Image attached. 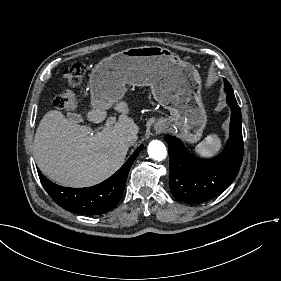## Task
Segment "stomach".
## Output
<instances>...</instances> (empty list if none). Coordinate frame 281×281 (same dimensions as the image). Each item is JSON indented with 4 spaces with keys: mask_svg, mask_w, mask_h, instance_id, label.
Masks as SVG:
<instances>
[{
    "mask_svg": "<svg viewBox=\"0 0 281 281\" xmlns=\"http://www.w3.org/2000/svg\"><path fill=\"white\" fill-rule=\"evenodd\" d=\"M151 88L153 98L170 116L157 121L179 133L186 143L203 136L208 117L202 101V79L196 67L170 49L139 46L113 53L92 69L90 106L111 108L126 93V85Z\"/></svg>",
    "mask_w": 281,
    "mask_h": 281,
    "instance_id": "obj_1",
    "label": "stomach"
}]
</instances>
